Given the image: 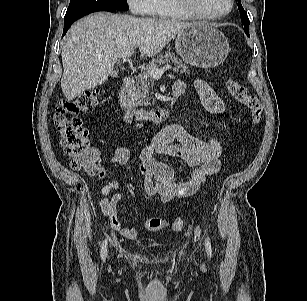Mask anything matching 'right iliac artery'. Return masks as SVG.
Here are the masks:
<instances>
[{"label":"right iliac artery","instance_id":"right-iliac-artery-1","mask_svg":"<svg viewBox=\"0 0 307 301\" xmlns=\"http://www.w3.org/2000/svg\"><path fill=\"white\" fill-rule=\"evenodd\" d=\"M106 251H107V241L104 240L101 248V257L103 260L106 258Z\"/></svg>","mask_w":307,"mask_h":301}]
</instances>
